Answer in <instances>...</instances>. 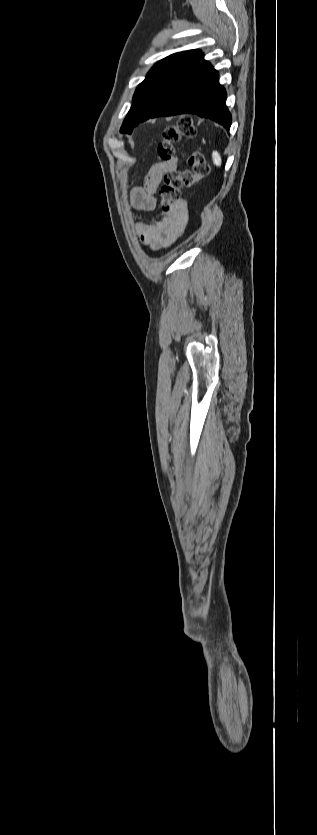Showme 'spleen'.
<instances>
[{"instance_id":"1","label":"spleen","mask_w":317,"mask_h":835,"mask_svg":"<svg viewBox=\"0 0 317 835\" xmlns=\"http://www.w3.org/2000/svg\"><path fill=\"white\" fill-rule=\"evenodd\" d=\"M212 159H213V163H214L216 166H218V167H220V166H221L222 159H221L220 154H219L217 151H213V153H212Z\"/></svg>"}]
</instances>
